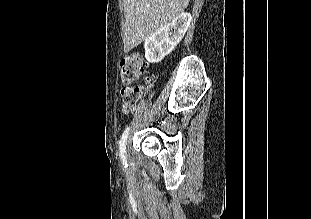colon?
I'll return each instance as SVG.
<instances>
[{
    "label": "colon",
    "mask_w": 311,
    "mask_h": 219,
    "mask_svg": "<svg viewBox=\"0 0 311 219\" xmlns=\"http://www.w3.org/2000/svg\"><path fill=\"white\" fill-rule=\"evenodd\" d=\"M145 73L146 65L140 55L132 54L121 60L119 65L120 80L123 84L121 93L126 107L132 108L139 102L143 86L132 85V82Z\"/></svg>",
    "instance_id": "5ec220e1"
}]
</instances>
